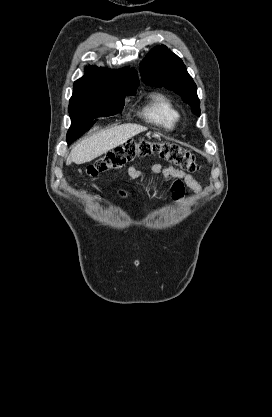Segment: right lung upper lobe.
Segmentation results:
<instances>
[{
    "label": "right lung upper lobe",
    "mask_w": 272,
    "mask_h": 417,
    "mask_svg": "<svg viewBox=\"0 0 272 417\" xmlns=\"http://www.w3.org/2000/svg\"><path fill=\"white\" fill-rule=\"evenodd\" d=\"M138 85L137 72L133 68L113 71L88 66L84 77L75 81L70 102L81 101L94 94L127 92L137 89Z\"/></svg>",
    "instance_id": "cb5924a9"
}]
</instances>
